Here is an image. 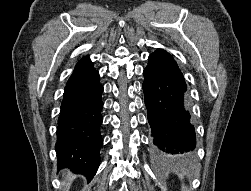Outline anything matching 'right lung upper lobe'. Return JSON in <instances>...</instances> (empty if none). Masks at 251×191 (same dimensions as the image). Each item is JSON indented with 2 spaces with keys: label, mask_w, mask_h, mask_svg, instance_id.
<instances>
[{
  "label": "right lung upper lobe",
  "mask_w": 251,
  "mask_h": 191,
  "mask_svg": "<svg viewBox=\"0 0 251 191\" xmlns=\"http://www.w3.org/2000/svg\"><path fill=\"white\" fill-rule=\"evenodd\" d=\"M96 72L97 71L94 69L93 64L91 63L90 59L87 56H85L77 63L67 84L80 81Z\"/></svg>",
  "instance_id": "obj_1"
}]
</instances>
